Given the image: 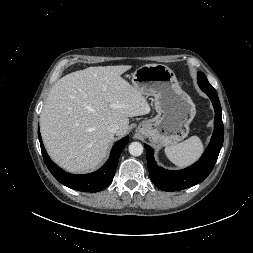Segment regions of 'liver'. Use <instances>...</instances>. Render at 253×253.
<instances>
[{
  "label": "liver",
  "instance_id": "6515ba94",
  "mask_svg": "<svg viewBox=\"0 0 253 253\" xmlns=\"http://www.w3.org/2000/svg\"><path fill=\"white\" fill-rule=\"evenodd\" d=\"M130 65L88 67L59 79L40 115V131L50 157L70 172L98 167L114 139L108 131L119 125L126 134L129 117L146 115L145 97L121 75Z\"/></svg>",
  "mask_w": 253,
  "mask_h": 253
}]
</instances>
